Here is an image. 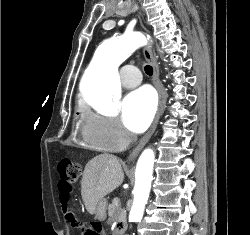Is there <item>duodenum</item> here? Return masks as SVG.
<instances>
[{
  "label": "duodenum",
  "mask_w": 250,
  "mask_h": 235,
  "mask_svg": "<svg viewBox=\"0 0 250 235\" xmlns=\"http://www.w3.org/2000/svg\"><path fill=\"white\" fill-rule=\"evenodd\" d=\"M123 233H124V228L122 226L116 227L114 235H123Z\"/></svg>",
  "instance_id": "1"
}]
</instances>
